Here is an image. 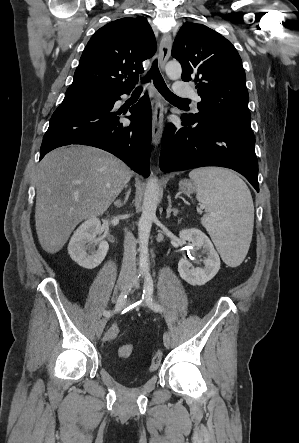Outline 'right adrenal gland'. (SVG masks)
Returning a JSON list of instances; mask_svg holds the SVG:
<instances>
[{
	"mask_svg": "<svg viewBox=\"0 0 299 443\" xmlns=\"http://www.w3.org/2000/svg\"><path fill=\"white\" fill-rule=\"evenodd\" d=\"M130 192H131V191H130V189H129L128 192L126 193V196H125L123 202H122L121 200H116V201L114 202V206H115L116 208H121L124 204H126L128 198H129Z\"/></svg>",
	"mask_w": 299,
	"mask_h": 443,
	"instance_id": "right-adrenal-gland-1",
	"label": "right adrenal gland"
}]
</instances>
